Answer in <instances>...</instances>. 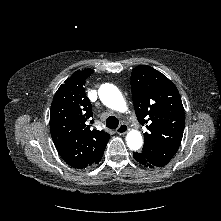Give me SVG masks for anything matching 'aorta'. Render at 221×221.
Segmentation results:
<instances>
[{
  "label": "aorta",
  "mask_w": 221,
  "mask_h": 221,
  "mask_svg": "<svg viewBox=\"0 0 221 221\" xmlns=\"http://www.w3.org/2000/svg\"><path fill=\"white\" fill-rule=\"evenodd\" d=\"M98 95L102 103L113 110L124 112L127 108L120 90L112 84L101 85L98 90ZM126 141L127 146L131 150H138L143 144L142 135L137 130H131L128 132Z\"/></svg>",
  "instance_id": "1"
}]
</instances>
